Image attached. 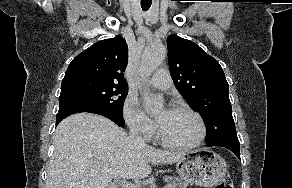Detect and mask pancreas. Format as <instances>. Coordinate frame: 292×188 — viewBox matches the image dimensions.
Instances as JSON below:
<instances>
[{"label":"pancreas","instance_id":"cf45deb5","mask_svg":"<svg viewBox=\"0 0 292 188\" xmlns=\"http://www.w3.org/2000/svg\"><path fill=\"white\" fill-rule=\"evenodd\" d=\"M166 180L168 182V188H187V183L179 178L168 176L166 177Z\"/></svg>","mask_w":292,"mask_h":188}]
</instances>
